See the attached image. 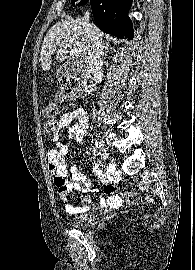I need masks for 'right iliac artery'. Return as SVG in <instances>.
Returning a JSON list of instances; mask_svg holds the SVG:
<instances>
[{
  "label": "right iliac artery",
  "mask_w": 195,
  "mask_h": 270,
  "mask_svg": "<svg viewBox=\"0 0 195 270\" xmlns=\"http://www.w3.org/2000/svg\"><path fill=\"white\" fill-rule=\"evenodd\" d=\"M94 154L97 155V149L96 148H94Z\"/></svg>",
  "instance_id": "right-iliac-artery-1"
}]
</instances>
